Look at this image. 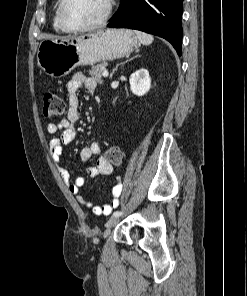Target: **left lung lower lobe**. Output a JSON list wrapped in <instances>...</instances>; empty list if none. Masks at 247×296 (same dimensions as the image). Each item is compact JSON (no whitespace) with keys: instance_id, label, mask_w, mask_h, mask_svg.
<instances>
[{"instance_id":"left-lung-lower-lobe-1","label":"left lung lower lobe","mask_w":247,"mask_h":296,"mask_svg":"<svg viewBox=\"0 0 247 296\" xmlns=\"http://www.w3.org/2000/svg\"><path fill=\"white\" fill-rule=\"evenodd\" d=\"M183 0H121L107 27L141 30L169 41L181 55Z\"/></svg>"}]
</instances>
